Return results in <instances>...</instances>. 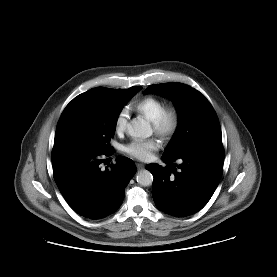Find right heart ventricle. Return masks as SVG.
<instances>
[{"instance_id":"e07e8e85","label":"right heart ventricle","mask_w":277,"mask_h":277,"mask_svg":"<svg viewBox=\"0 0 277 277\" xmlns=\"http://www.w3.org/2000/svg\"><path fill=\"white\" fill-rule=\"evenodd\" d=\"M165 107V102L155 96L143 97L133 104V109L151 122L160 116Z\"/></svg>"}]
</instances>
